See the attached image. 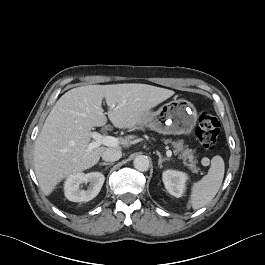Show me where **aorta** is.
<instances>
[{
  "instance_id": "obj_1",
  "label": "aorta",
  "mask_w": 265,
  "mask_h": 265,
  "mask_svg": "<svg viewBox=\"0 0 265 265\" xmlns=\"http://www.w3.org/2000/svg\"><path fill=\"white\" fill-rule=\"evenodd\" d=\"M133 164L135 169H137L138 171H147L149 169V158L145 155H138L134 159Z\"/></svg>"
}]
</instances>
